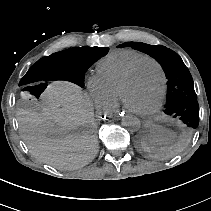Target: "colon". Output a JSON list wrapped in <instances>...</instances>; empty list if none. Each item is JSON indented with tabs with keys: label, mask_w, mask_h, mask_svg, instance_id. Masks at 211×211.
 <instances>
[{
	"label": "colon",
	"mask_w": 211,
	"mask_h": 211,
	"mask_svg": "<svg viewBox=\"0 0 211 211\" xmlns=\"http://www.w3.org/2000/svg\"><path fill=\"white\" fill-rule=\"evenodd\" d=\"M47 85L45 83H33L26 86L22 91V97L28 101L39 99L45 92Z\"/></svg>",
	"instance_id": "5ec220e1"
}]
</instances>
